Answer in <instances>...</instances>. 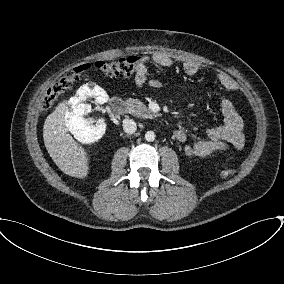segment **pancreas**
Segmentation results:
<instances>
[{"mask_svg":"<svg viewBox=\"0 0 284 284\" xmlns=\"http://www.w3.org/2000/svg\"><path fill=\"white\" fill-rule=\"evenodd\" d=\"M126 104L128 106L129 113L133 116L150 119L156 117V114L152 113L150 109L138 99H127Z\"/></svg>","mask_w":284,"mask_h":284,"instance_id":"1","label":"pancreas"}]
</instances>
